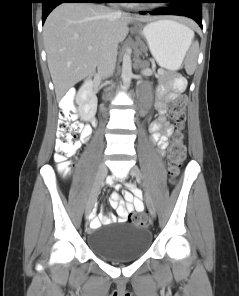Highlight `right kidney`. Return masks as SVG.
Returning a JSON list of instances; mask_svg holds the SVG:
<instances>
[{"label":"right kidney","instance_id":"obj_1","mask_svg":"<svg viewBox=\"0 0 239 296\" xmlns=\"http://www.w3.org/2000/svg\"><path fill=\"white\" fill-rule=\"evenodd\" d=\"M75 102L81 120L90 121L97 111V97L93 90V81L87 80L80 87Z\"/></svg>","mask_w":239,"mask_h":296}]
</instances>
